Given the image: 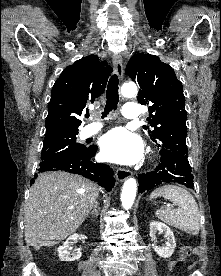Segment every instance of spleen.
<instances>
[{
	"instance_id": "3e777b00",
	"label": "spleen",
	"mask_w": 221,
	"mask_h": 276,
	"mask_svg": "<svg viewBox=\"0 0 221 276\" xmlns=\"http://www.w3.org/2000/svg\"><path fill=\"white\" fill-rule=\"evenodd\" d=\"M162 196L175 203L178 209L162 207L155 212L160 220L190 235H198L200 231V213L194 197L184 188L165 185L156 188L151 198Z\"/></svg>"
}]
</instances>
